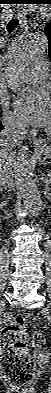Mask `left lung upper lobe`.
I'll return each instance as SVG.
<instances>
[{"label":"left lung upper lobe","instance_id":"left-lung-upper-lobe-1","mask_svg":"<svg viewBox=\"0 0 51 393\" xmlns=\"http://www.w3.org/2000/svg\"><path fill=\"white\" fill-rule=\"evenodd\" d=\"M44 33L48 38V42H49L48 52H49V58L51 60V22L46 25Z\"/></svg>","mask_w":51,"mask_h":393}]
</instances>
